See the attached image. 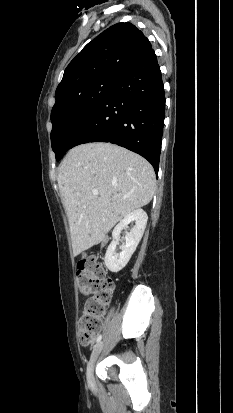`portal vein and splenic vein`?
<instances>
[{
  "label": "portal vein and splenic vein",
  "mask_w": 233,
  "mask_h": 413,
  "mask_svg": "<svg viewBox=\"0 0 233 413\" xmlns=\"http://www.w3.org/2000/svg\"><path fill=\"white\" fill-rule=\"evenodd\" d=\"M93 195H94V196H97V195H98V192H97V191H93Z\"/></svg>",
  "instance_id": "portal-vein-and-splenic-vein-1"
}]
</instances>
